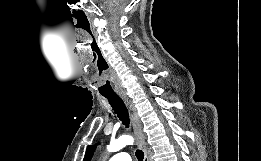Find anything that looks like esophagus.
<instances>
[{
  "label": "esophagus",
  "instance_id": "esophagus-1",
  "mask_svg": "<svg viewBox=\"0 0 261 161\" xmlns=\"http://www.w3.org/2000/svg\"><path fill=\"white\" fill-rule=\"evenodd\" d=\"M119 95L129 110L137 144L145 153L144 161H149L147 156V151H146L145 135L143 132L142 124L140 122L137 110L134 107L133 103L129 100V98L125 94H119Z\"/></svg>",
  "mask_w": 261,
  "mask_h": 161
}]
</instances>
